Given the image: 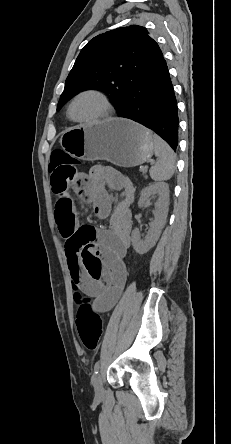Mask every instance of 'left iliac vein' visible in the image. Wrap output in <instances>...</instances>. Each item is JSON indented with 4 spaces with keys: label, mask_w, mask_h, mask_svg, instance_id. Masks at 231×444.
I'll list each match as a JSON object with an SVG mask.
<instances>
[{
    "label": "left iliac vein",
    "mask_w": 231,
    "mask_h": 444,
    "mask_svg": "<svg viewBox=\"0 0 231 444\" xmlns=\"http://www.w3.org/2000/svg\"><path fill=\"white\" fill-rule=\"evenodd\" d=\"M92 384L97 397H101L104 393L102 377L99 373L95 374L92 378Z\"/></svg>",
    "instance_id": "left-iliac-vein-1"
}]
</instances>
